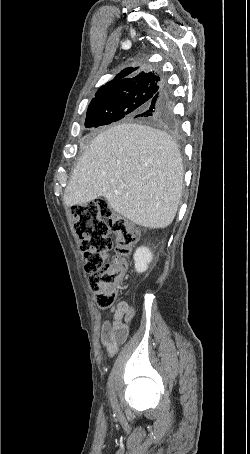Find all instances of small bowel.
<instances>
[{
	"label": "small bowel",
	"mask_w": 250,
	"mask_h": 454,
	"mask_svg": "<svg viewBox=\"0 0 250 454\" xmlns=\"http://www.w3.org/2000/svg\"><path fill=\"white\" fill-rule=\"evenodd\" d=\"M135 315L134 308L126 301L120 302L114 312L113 320L105 321L101 329V343L109 357H113L129 334V323Z\"/></svg>",
	"instance_id": "c3829d8e"
}]
</instances>
